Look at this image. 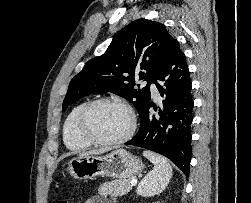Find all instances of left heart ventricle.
<instances>
[{
  "mask_svg": "<svg viewBox=\"0 0 251 203\" xmlns=\"http://www.w3.org/2000/svg\"><path fill=\"white\" fill-rule=\"evenodd\" d=\"M129 125L130 118L126 110L114 103L96 105L86 120L87 131L102 140H112L122 136Z\"/></svg>",
  "mask_w": 251,
  "mask_h": 203,
  "instance_id": "b2bd125f",
  "label": "left heart ventricle"
}]
</instances>
